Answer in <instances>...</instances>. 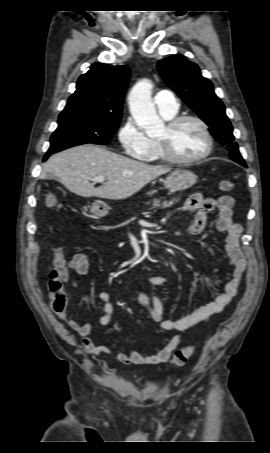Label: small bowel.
Returning <instances> with one entry per match:
<instances>
[{
	"label": "small bowel",
	"instance_id": "obj_1",
	"mask_svg": "<svg viewBox=\"0 0 270 453\" xmlns=\"http://www.w3.org/2000/svg\"><path fill=\"white\" fill-rule=\"evenodd\" d=\"M233 205L234 199L227 195L212 200L204 199L200 195L195 194L190 196L185 202L183 210L195 212L193 223L189 227V233L191 235H197L203 230L207 213L212 211L217 212L216 229L226 233L225 250L234 271L232 278L226 284L224 293L218 295L213 301L195 309L188 315L175 319L165 317L163 302L156 293V288L167 282V276L155 275L149 277L146 280L147 288L140 290L138 293V300L151 319L157 322L162 330L183 333L198 324L207 322L211 316L221 312L229 305L233 297L238 293L247 262L240 245L243 232L242 226L235 223L232 218ZM53 265L54 270L58 272L63 282L70 283L75 288H78L79 284L71 275L70 270L74 271L77 275L84 276L88 273L90 263L85 253H76L70 260H66L63 248L58 246L53 250ZM97 299L103 306V315L99 317L98 325L107 326L114 313L110 294L106 291H101L98 293ZM59 317L66 322L70 329L81 337L82 345L88 354L100 356L112 352L111 346L95 345L91 340L90 335L93 331V325L91 323L69 318L66 313L59 315ZM178 344L179 337L176 335L165 347L154 354L146 355L136 350L129 352L119 351L117 360L122 364L135 365H158L166 363Z\"/></svg>",
	"mask_w": 270,
	"mask_h": 453
}]
</instances>
